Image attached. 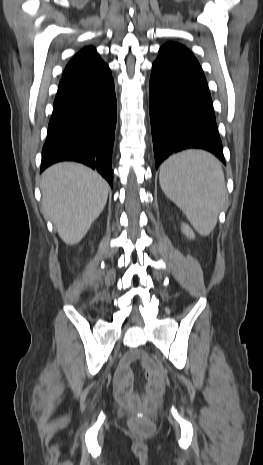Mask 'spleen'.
Returning a JSON list of instances; mask_svg holds the SVG:
<instances>
[{
  "label": "spleen",
  "mask_w": 263,
  "mask_h": 465,
  "mask_svg": "<svg viewBox=\"0 0 263 465\" xmlns=\"http://www.w3.org/2000/svg\"><path fill=\"white\" fill-rule=\"evenodd\" d=\"M159 181L165 195L186 214L195 230L203 236L210 234L226 195L218 159L204 151L178 153L164 161Z\"/></svg>",
  "instance_id": "spleen-1"
}]
</instances>
